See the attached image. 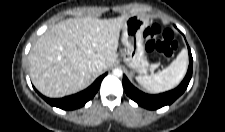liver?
Returning a JSON list of instances; mask_svg holds the SVG:
<instances>
[{"label": "liver", "instance_id": "liver-1", "mask_svg": "<svg viewBox=\"0 0 225 132\" xmlns=\"http://www.w3.org/2000/svg\"><path fill=\"white\" fill-rule=\"evenodd\" d=\"M128 17L72 18L50 27L28 57L36 89L51 98L82 90L95 74L89 68L93 60L102 61L104 70L116 61L120 30Z\"/></svg>", "mask_w": 225, "mask_h": 132}]
</instances>
